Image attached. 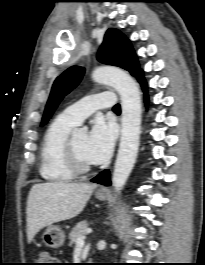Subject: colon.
<instances>
[{
  "instance_id": "5ec220e1",
  "label": "colon",
  "mask_w": 205,
  "mask_h": 265,
  "mask_svg": "<svg viewBox=\"0 0 205 265\" xmlns=\"http://www.w3.org/2000/svg\"><path fill=\"white\" fill-rule=\"evenodd\" d=\"M54 257L51 256L49 253L47 252H41L39 255H38V260H39V264L40 265H52L54 263H51L54 261Z\"/></svg>"
}]
</instances>
